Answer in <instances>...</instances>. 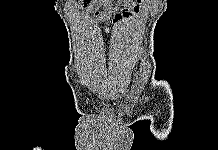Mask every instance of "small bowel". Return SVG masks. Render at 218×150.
<instances>
[{
  "label": "small bowel",
  "instance_id": "1",
  "mask_svg": "<svg viewBox=\"0 0 218 150\" xmlns=\"http://www.w3.org/2000/svg\"><path fill=\"white\" fill-rule=\"evenodd\" d=\"M126 5L116 10L113 0H83V10L90 14L95 21H103L111 18V25L119 27L121 23L129 20L136 13H139L145 4V0H124ZM108 26L104 31L109 32Z\"/></svg>",
  "mask_w": 218,
  "mask_h": 150
}]
</instances>
